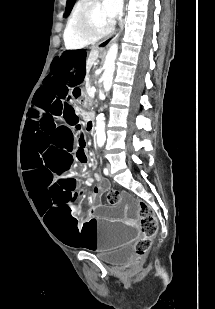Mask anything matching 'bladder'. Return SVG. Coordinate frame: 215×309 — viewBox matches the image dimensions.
Returning a JSON list of instances; mask_svg holds the SVG:
<instances>
[{
  "mask_svg": "<svg viewBox=\"0 0 215 309\" xmlns=\"http://www.w3.org/2000/svg\"><path fill=\"white\" fill-rule=\"evenodd\" d=\"M132 257L133 249L130 246H124L113 252L98 255L100 261L113 266L122 265Z\"/></svg>",
  "mask_w": 215,
  "mask_h": 309,
  "instance_id": "obj_1",
  "label": "bladder"
}]
</instances>
